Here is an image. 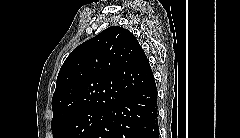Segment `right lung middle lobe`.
Instances as JSON below:
<instances>
[{"instance_id":"right-lung-middle-lobe-1","label":"right lung middle lobe","mask_w":240,"mask_h":138,"mask_svg":"<svg viewBox=\"0 0 240 138\" xmlns=\"http://www.w3.org/2000/svg\"><path fill=\"white\" fill-rule=\"evenodd\" d=\"M108 109L90 108L51 122L53 138H89Z\"/></svg>"}]
</instances>
